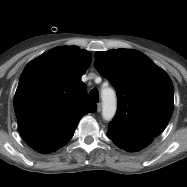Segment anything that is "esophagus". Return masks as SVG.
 Here are the masks:
<instances>
[{"instance_id": "obj_1", "label": "esophagus", "mask_w": 187, "mask_h": 187, "mask_svg": "<svg viewBox=\"0 0 187 187\" xmlns=\"http://www.w3.org/2000/svg\"><path fill=\"white\" fill-rule=\"evenodd\" d=\"M102 110V104L98 103L97 104V111L100 112Z\"/></svg>"}]
</instances>
